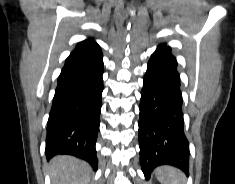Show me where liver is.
<instances>
[{"instance_id":"obj_1","label":"liver","mask_w":235,"mask_h":184,"mask_svg":"<svg viewBox=\"0 0 235 184\" xmlns=\"http://www.w3.org/2000/svg\"><path fill=\"white\" fill-rule=\"evenodd\" d=\"M91 168L72 156H56L50 162L52 184H89Z\"/></svg>"}]
</instances>
